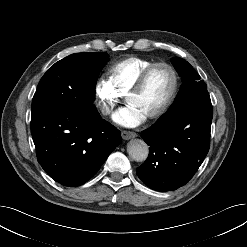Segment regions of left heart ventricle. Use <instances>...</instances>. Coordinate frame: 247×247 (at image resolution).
Here are the masks:
<instances>
[{
  "label": "left heart ventricle",
  "instance_id": "obj_1",
  "mask_svg": "<svg viewBox=\"0 0 247 247\" xmlns=\"http://www.w3.org/2000/svg\"><path fill=\"white\" fill-rule=\"evenodd\" d=\"M172 87V75L165 67H157L149 75L142 91L127 99L146 117L157 111L168 97Z\"/></svg>",
  "mask_w": 247,
  "mask_h": 247
}]
</instances>
